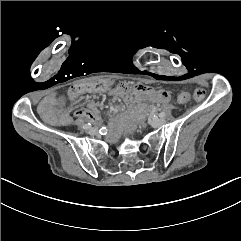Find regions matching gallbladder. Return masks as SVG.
<instances>
[{
    "label": "gallbladder",
    "mask_w": 241,
    "mask_h": 241,
    "mask_svg": "<svg viewBox=\"0 0 241 241\" xmlns=\"http://www.w3.org/2000/svg\"><path fill=\"white\" fill-rule=\"evenodd\" d=\"M56 108L59 111H64L67 108L66 96L63 93H58L55 96Z\"/></svg>",
    "instance_id": "obj_1"
}]
</instances>
